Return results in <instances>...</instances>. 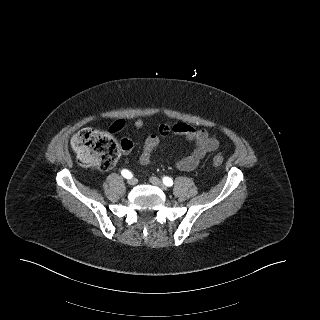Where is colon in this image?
Instances as JSON below:
<instances>
[{"label": "colon", "mask_w": 320, "mask_h": 320, "mask_svg": "<svg viewBox=\"0 0 320 320\" xmlns=\"http://www.w3.org/2000/svg\"><path fill=\"white\" fill-rule=\"evenodd\" d=\"M118 129V124H113L110 127V133L85 128L72 137L71 144L82 162L101 170H108L117 162L121 151H129L132 148V143L128 139L117 141L112 135ZM223 161L221 154L214 155L213 163L215 166H221Z\"/></svg>", "instance_id": "colon-1"}]
</instances>
